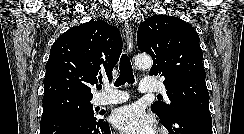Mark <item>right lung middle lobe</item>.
Segmentation results:
<instances>
[{
    "instance_id": "1",
    "label": "right lung middle lobe",
    "mask_w": 244,
    "mask_h": 134,
    "mask_svg": "<svg viewBox=\"0 0 244 134\" xmlns=\"http://www.w3.org/2000/svg\"><path fill=\"white\" fill-rule=\"evenodd\" d=\"M90 100L70 96L43 100V114L40 128L50 120L60 117L81 116L84 118H93L94 110ZM102 113L104 112H100V114Z\"/></svg>"
}]
</instances>
